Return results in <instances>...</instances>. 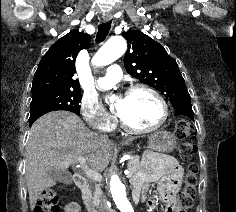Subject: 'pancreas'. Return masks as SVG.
Masks as SVG:
<instances>
[{"mask_svg":"<svg viewBox=\"0 0 236 212\" xmlns=\"http://www.w3.org/2000/svg\"><path fill=\"white\" fill-rule=\"evenodd\" d=\"M127 168L130 171L131 176L137 173L141 168L139 156H133L129 160ZM100 197H101L100 184L96 183L93 190H88V192L86 193V198L93 205L97 206L100 203Z\"/></svg>","mask_w":236,"mask_h":212,"instance_id":"1","label":"pancreas"}]
</instances>
